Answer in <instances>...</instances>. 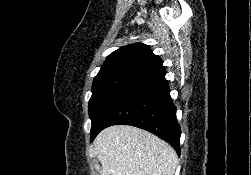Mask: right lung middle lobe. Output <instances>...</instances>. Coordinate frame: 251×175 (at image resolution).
<instances>
[{
  "mask_svg": "<svg viewBox=\"0 0 251 175\" xmlns=\"http://www.w3.org/2000/svg\"><path fill=\"white\" fill-rule=\"evenodd\" d=\"M137 81L136 78L130 76H116L93 81L92 96L88 105L89 116L92 123L91 136L96 132L99 122L108 107L121 93Z\"/></svg>",
  "mask_w": 251,
  "mask_h": 175,
  "instance_id": "right-lung-middle-lobe-1",
  "label": "right lung middle lobe"
}]
</instances>
